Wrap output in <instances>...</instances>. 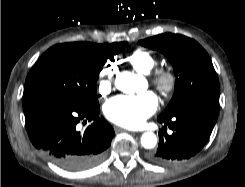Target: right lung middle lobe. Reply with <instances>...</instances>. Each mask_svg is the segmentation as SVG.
<instances>
[{
  "mask_svg": "<svg viewBox=\"0 0 245 187\" xmlns=\"http://www.w3.org/2000/svg\"><path fill=\"white\" fill-rule=\"evenodd\" d=\"M126 46L127 42L111 45L74 42L51 47L26 78L23 108L44 101H65L98 108V74L105 62L114 59V55Z\"/></svg>",
  "mask_w": 245,
  "mask_h": 187,
  "instance_id": "obj_1",
  "label": "right lung middle lobe"
}]
</instances>
